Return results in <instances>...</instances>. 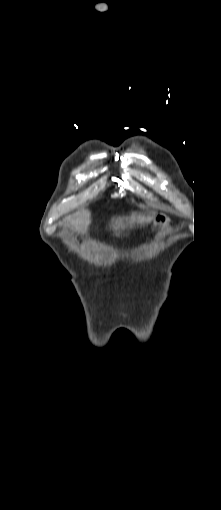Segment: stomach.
Segmentation results:
<instances>
[{
	"mask_svg": "<svg viewBox=\"0 0 221 510\" xmlns=\"http://www.w3.org/2000/svg\"><path fill=\"white\" fill-rule=\"evenodd\" d=\"M171 224V219L165 214H159L154 222L155 227L163 226L166 230L171 228Z\"/></svg>",
	"mask_w": 221,
	"mask_h": 510,
	"instance_id": "0dacf381",
	"label": "stomach"
}]
</instances>
